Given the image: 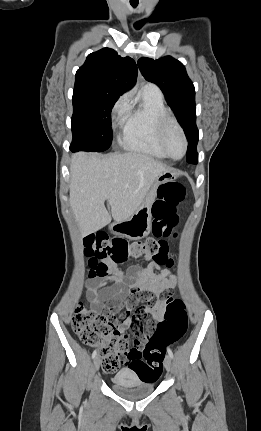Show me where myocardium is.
<instances>
[{
    "label": "myocardium",
    "mask_w": 261,
    "mask_h": 431,
    "mask_svg": "<svg viewBox=\"0 0 261 431\" xmlns=\"http://www.w3.org/2000/svg\"><path fill=\"white\" fill-rule=\"evenodd\" d=\"M171 127H174L180 133L182 140H183L184 149H183V153L180 157H173L169 153L167 146H166V134H167L169 128H171ZM157 136H158L159 144H160L163 152L165 153V155L168 158H170L172 160H179L185 156L187 149H188L187 136L184 132V129L182 128V126L180 125V123L177 121V119L174 116L167 113L160 118L159 124H158Z\"/></svg>",
    "instance_id": "f54148a6"
}]
</instances>
